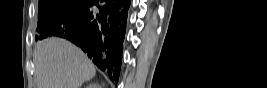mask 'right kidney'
<instances>
[{
	"mask_svg": "<svg viewBox=\"0 0 267 88\" xmlns=\"http://www.w3.org/2000/svg\"><path fill=\"white\" fill-rule=\"evenodd\" d=\"M86 88H101L98 83H90Z\"/></svg>",
	"mask_w": 267,
	"mask_h": 88,
	"instance_id": "ca27d5eb",
	"label": "right kidney"
}]
</instances>
